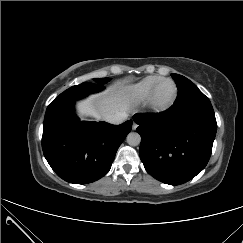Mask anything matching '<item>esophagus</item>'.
Wrapping results in <instances>:
<instances>
[{
	"mask_svg": "<svg viewBox=\"0 0 243 243\" xmlns=\"http://www.w3.org/2000/svg\"><path fill=\"white\" fill-rule=\"evenodd\" d=\"M137 127H138L137 123L133 121L132 129L136 130Z\"/></svg>",
	"mask_w": 243,
	"mask_h": 243,
	"instance_id": "obj_1",
	"label": "esophagus"
}]
</instances>
